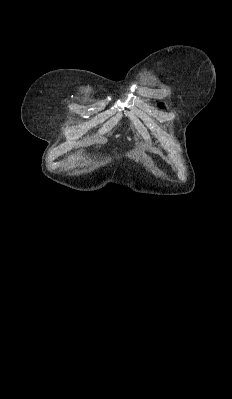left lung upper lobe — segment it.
Here are the masks:
<instances>
[{
  "label": "left lung upper lobe",
  "instance_id": "left-lung-upper-lobe-1",
  "mask_svg": "<svg viewBox=\"0 0 232 399\" xmlns=\"http://www.w3.org/2000/svg\"><path fill=\"white\" fill-rule=\"evenodd\" d=\"M160 105H161V107L163 106V104H162V103H160Z\"/></svg>",
  "mask_w": 232,
  "mask_h": 399
}]
</instances>
